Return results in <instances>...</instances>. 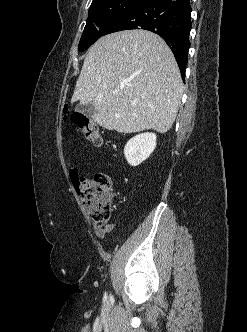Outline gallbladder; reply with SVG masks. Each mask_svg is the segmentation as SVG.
Returning a JSON list of instances; mask_svg holds the SVG:
<instances>
[{"label":"gallbladder","instance_id":"obj_1","mask_svg":"<svg viewBox=\"0 0 247 332\" xmlns=\"http://www.w3.org/2000/svg\"><path fill=\"white\" fill-rule=\"evenodd\" d=\"M75 111L87 117H92L95 113V108L92 104H79L75 107Z\"/></svg>","mask_w":247,"mask_h":332}]
</instances>
